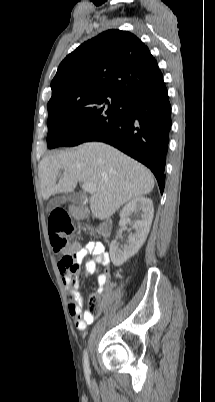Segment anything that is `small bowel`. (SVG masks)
Listing matches in <instances>:
<instances>
[{"mask_svg": "<svg viewBox=\"0 0 215 402\" xmlns=\"http://www.w3.org/2000/svg\"><path fill=\"white\" fill-rule=\"evenodd\" d=\"M92 255L94 258H87ZM78 264L86 259L82 273L79 269L71 272L67 267H62L58 263L61 279L66 291L69 313L72 316L77 329L85 330L88 325L93 323L95 315L82 310V298L79 294L80 284L83 278L92 274H97L98 293L109 294L111 285L108 284L109 271L100 272L98 265L108 266L110 260L105 252V247L101 242L89 241L83 245L82 250H77L76 257H73Z\"/></svg>", "mask_w": 215, "mask_h": 402, "instance_id": "obj_1", "label": "small bowel"}]
</instances>
